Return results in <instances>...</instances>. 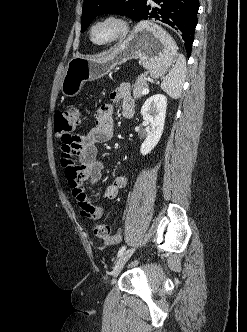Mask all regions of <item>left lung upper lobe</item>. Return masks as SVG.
Wrapping results in <instances>:
<instances>
[{"label": "left lung upper lobe", "instance_id": "5c2ea615", "mask_svg": "<svg viewBox=\"0 0 247 332\" xmlns=\"http://www.w3.org/2000/svg\"><path fill=\"white\" fill-rule=\"evenodd\" d=\"M147 0H84L81 32H84L94 18L101 13L125 14L140 20V14Z\"/></svg>", "mask_w": 247, "mask_h": 332}]
</instances>
